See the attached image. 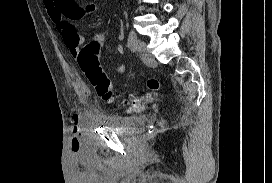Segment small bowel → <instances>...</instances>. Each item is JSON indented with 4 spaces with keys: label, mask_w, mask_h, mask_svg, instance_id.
<instances>
[{
    "label": "small bowel",
    "mask_w": 272,
    "mask_h": 183,
    "mask_svg": "<svg viewBox=\"0 0 272 183\" xmlns=\"http://www.w3.org/2000/svg\"><path fill=\"white\" fill-rule=\"evenodd\" d=\"M50 19L57 25L66 47L73 57H78L84 37L75 31L74 26L68 22L71 19H78L85 14L93 13L96 10V4L86 3L83 6L77 4L76 0H43ZM122 35H119V39ZM93 40L101 44L105 43V37L102 34L94 36ZM117 54H123L122 46L118 45L115 49ZM119 73H124L123 66L118 67Z\"/></svg>",
    "instance_id": "1"
}]
</instances>
